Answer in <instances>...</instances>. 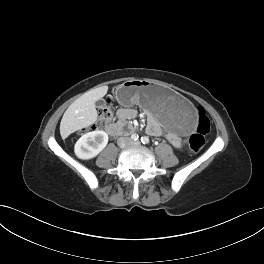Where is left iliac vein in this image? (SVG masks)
<instances>
[{"instance_id":"obj_1","label":"left iliac vein","mask_w":264,"mask_h":264,"mask_svg":"<svg viewBox=\"0 0 264 264\" xmlns=\"http://www.w3.org/2000/svg\"><path fill=\"white\" fill-rule=\"evenodd\" d=\"M132 144H133V145H138V144H139V142H132Z\"/></svg>"}]
</instances>
